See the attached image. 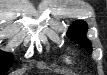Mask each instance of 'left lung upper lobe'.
<instances>
[{"mask_svg":"<svg viewBox=\"0 0 107 75\" xmlns=\"http://www.w3.org/2000/svg\"><path fill=\"white\" fill-rule=\"evenodd\" d=\"M87 24L84 21H76L70 27L67 36L76 42L77 44L83 46L87 51L91 52L92 47L90 41L86 38Z\"/></svg>","mask_w":107,"mask_h":75,"instance_id":"left-lung-upper-lobe-1","label":"left lung upper lobe"}]
</instances>
